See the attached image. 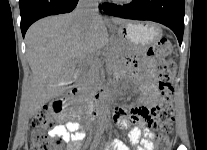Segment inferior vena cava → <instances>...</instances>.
<instances>
[{
	"label": "inferior vena cava",
	"instance_id": "1",
	"mask_svg": "<svg viewBox=\"0 0 207 150\" xmlns=\"http://www.w3.org/2000/svg\"><path fill=\"white\" fill-rule=\"evenodd\" d=\"M74 14L80 23L88 24L98 15V0H79ZM81 66L85 68V62Z\"/></svg>",
	"mask_w": 207,
	"mask_h": 150
}]
</instances>
